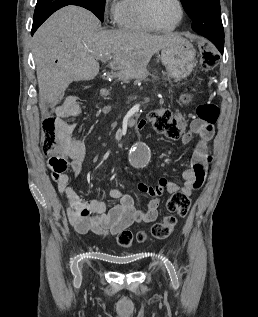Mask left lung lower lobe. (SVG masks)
Returning <instances> with one entry per match:
<instances>
[{
  "mask_svg": "<svg viewBox=\"0 0 258 317\" xmlns=\"http://www.w3.org/2000/svg\"><path fill=\"white\" fill-rule=\"evenodd\" d=\"M199 35H202L209 39L217 49L223 54L224 48V31L221 28L217 27H207L193 29Z\"/></svg>",
  "mask_w": 258,
  "mask_h": 317,
  "instance_id": "obj_1",
  "label": "left lung lower lobe"
}]
</instances>
